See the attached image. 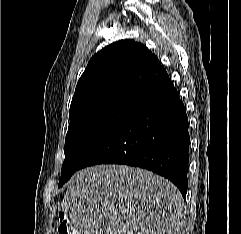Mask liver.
I'll return each instance as SVG.
<instances>
[{"instance_id": "obj_1", "label": "liver", "mask_w": 241, "mask_h": 234, "mask_svg": "<svg viewBox=\"0 0 241 234\" xmlns=\"http://www.w3.org/2000/svg\"><path fill=\"white\" fill-rule=\"evenodd\" d=\"M178 188L150 171L97 165L76 172L61 210L76 234H178L184 227Z\"/></svg>"}]
</instances>
